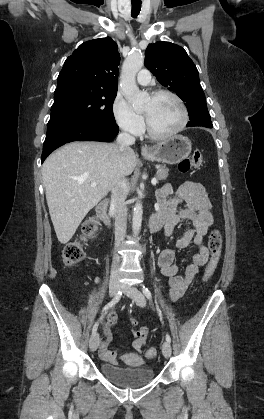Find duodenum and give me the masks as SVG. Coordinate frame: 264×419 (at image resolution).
Returning <instances> with one entry per match:
<instances>
[{"instance_id": "1", "label": "duodenum", "mask_w": 264, "mask_h": 419, "mask_svg": "<svg viewBox=\"0 0 264 419\" xmlns=\"http://www.w3.org/2000/svg\"><path fill=\"white\" fill-rule=\"evenodd\" d=\"M97 214L108 227H111L112 220L109 214V201L108 200H103L97 206ZM163 225H164L163 219L156 214L152 216L148 222V228L151 232H155L159 230Z\"/></svg>"}]
</instances>
